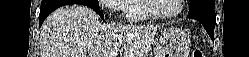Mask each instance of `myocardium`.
Returning a JSON list of instances; mask_svg holds the SVG:
<instances>
[{"label":"myocardium","instance_id":"obj_1","mask_svg":"<svg viewBox=\"0 0 249 57\" xmlns=\"http://www.w3.org/2000/svg\"><path fill=\"white\" fill-rule=\"evenodd\" d=\"M152 1L153 0H142V4H143V10L146 12L149 18L155 20H166L178 16L183 11L185 3L184 0H178L179 5L176 11L168 14H158L153 10Z\"/></svg>","mask_w":249,"mask_h":57}]
</instances>
